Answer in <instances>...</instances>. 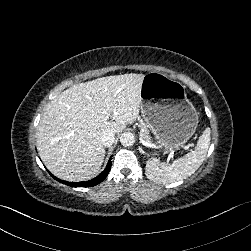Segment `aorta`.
<instances>
[{"label":"aorta","instance_id":"762f6f07","mask_svg":"<svg viewBox=\"0 0 251 251\" xmlns=\"http://www.w3.org/2000/svg\"><path fill=\"white\" fill-rule=\"evenodd\" d=\"M120 142L125 147L132 146L135 142L134 134L129 132L123 133L120 136Z\"/></svg>","mask_w":251,"mask_h":251}]
</instances>
